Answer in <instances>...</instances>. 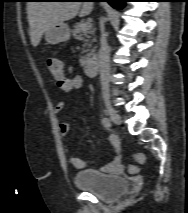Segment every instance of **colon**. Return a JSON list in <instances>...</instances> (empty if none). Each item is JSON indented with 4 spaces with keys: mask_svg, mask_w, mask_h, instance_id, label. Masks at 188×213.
<instances>
[{
    "mask_svg": "<svg viewBox=\"0 0 188 213\" xmlns=\"http://www.w3.org/2000/svg\"><path fill=\"white\" fill-rule=\"evenodd\" d=\"M47 66L52 75L56 78L59 79L63 76V67L61 64V61L56 58H50L47 60ZM145 161V156L143 153L139 152L135 154L133 158V162L129 165V172L134 174L139 171V166L143 164Z\"/></svg>",
    "mask_w": 188,
    "mask_h": 213,
    "instance_id": "colon-1",
    "label": "colon"
}]
</instances>
